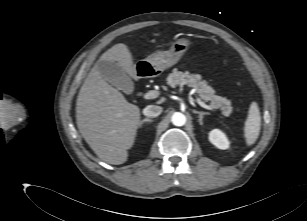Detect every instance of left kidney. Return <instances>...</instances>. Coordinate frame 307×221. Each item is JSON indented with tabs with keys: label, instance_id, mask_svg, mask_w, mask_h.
Masks as SVG:
<instances>
[{
	"label": "left kidney",
	"instance_id": "left-kidney-1",
	"mask_svg": "<svg viewBox=\"0 0 307 221\" xmlns=\"http://www.w3.org/2000/svg\"><path fill=\"white\" fill-rule=\"evenodd\" d=\"M209 141L219 149L225 150L229 148V141L224 133L218 129H214L209 133Z\"/></svg>",
	"mask_w": 307,
	"mask_h": 221
}]
</instances>
